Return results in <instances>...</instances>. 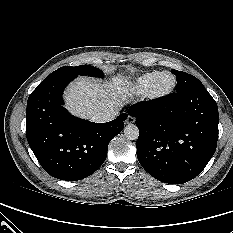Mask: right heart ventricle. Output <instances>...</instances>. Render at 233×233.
<instances>
[{
	"label": "right heart ventricle",
	"mask_w": 233,
	"mask_h": 233,
	"mask_svg": "<svg viewBox=\"0 0 233 233\" xmlns=\"http://www.w3.org/2000/svg\"><path fill=\"white\" fill-rule=\"evenodd\" d=\"M159 73L160 71L157 70L143 73L130 83V90L135 94H145L149 86Z\"/></svg>",
	"instance_id": "e07e8e85"
}]
</instances>
